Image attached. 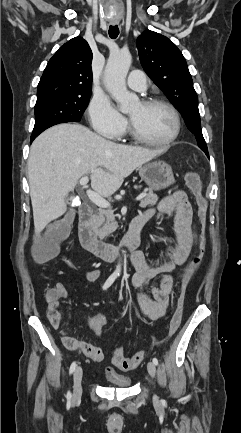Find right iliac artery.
Masks as SVG:
<instances>
[{"label":"right iliac artery","mask_w":241,"mask_h":433,"mask_svg":"<svg viewBox=\"0 0 241 433\" xmlns=\"http://www.w3.org/2000/svg\"><path fill=\"white\" fill-rule=\"evenodd\" d=\"M115 279H116V275H111V276L106 280V282L104 283V285H103V290H105V289H107L108 287H110V286L113 284V282L115 281ZM75 368H76V362H73V363L71 364V366H70L69 373L72 374V373L74 372ZM66 398H67L68 401H71L72 395H71V392H70V391L67 392Z\"/></svg>","instance_id":"right-iliac-artery-1"}]
</instances>
